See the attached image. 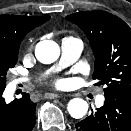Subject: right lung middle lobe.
Here are the masks:
<instances>
[{"label":"right lung middle lobe","mask_w":131,"mask_h":131,"mask_svg":"<svg viewBox=\"0 0 131 131\" xmlns=\"http://www.w3.org/2000/svg\"><path fill=\"white\" fill-rule=\"evenodd\" d=\"M20 43L16 45L0 44V90L5 89L7 72L17 62Z\"/></svg>","instance_id":"obj_1"}]
</instances>
